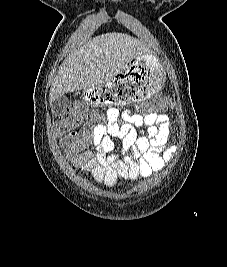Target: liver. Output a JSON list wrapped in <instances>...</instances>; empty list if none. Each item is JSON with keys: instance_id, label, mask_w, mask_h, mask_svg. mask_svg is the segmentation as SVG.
<instances>
[{"instance_id": "6515ba94", "label": "liver", "mask_w": 227, "mask_h": 267, "mask_svg": "<svg viewBox=\"0 0 227 267\" xmlns=\"http://www.w3.org/2000/svg\"><path fill=\"white\" fill-rule=\"evenodd\" d=\"M144 52L142 43L127 34L94 37L61 65L50 90V102L66 93L104 86Z\"/></svg>"}]
</instances>
